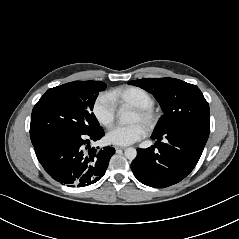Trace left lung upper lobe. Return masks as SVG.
<instances>
[{
	"label": "left lung upper lobe",
	"instance_id": "5c2ea615",
	"mask_svg": "<svg viewBox=\"0 0 239 239\" xmlns=\"http://www.w3.org/2000/svg\"><path fill=\"white\" fill-rule=\"evenodd\" d=\"M153 94L164 115L154 133L162 134L180 127H200L210 130L209 105L200 89L174 78L140 79L128 82Z\"/></svg>",
	"mask_w": 239,
	"mask_h": 239
}]
</instances>
